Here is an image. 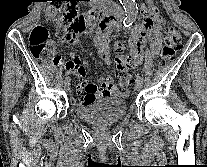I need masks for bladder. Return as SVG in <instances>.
<instances>
[{
    "mask_svg": "<svg viewBox=\"0 0 207 167\" xmlns=\"http://www.w3.org/2000/svg\"><path fill=\"white\" fill-rule=\"evenodd\" d=\"M126 112V102L121 96H106L75 107L78 118L96 125L117 122L125 116Z\"/></svg>",
    "mask_w": 207,
    "mask_h": 167,
    "instance_id": "1",
    "label": "bladder"
}]
</instances>
